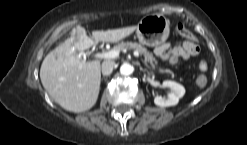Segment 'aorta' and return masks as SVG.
Segmentation results:
<instances>
[{
	"mask_svg": "<svg viewBox=\"0 0 247 145\" xmlns=\"http://www.w3.org/2000/svg\"><path fill=\"white\" fill-rule=\"evenodd\" d=\"M133 72V67L129 63H124L120 67V73L122 75H130Z\"/></svg>",
	"mask_w": 247,
	"mask_h": 145,
	"instance_id": "obj_1",
	"label": "aorta"
}]
</instances>
